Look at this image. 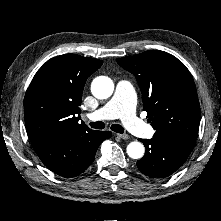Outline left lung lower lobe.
Returning a JSON list of instances; mask_svg holds the SVG:
<instances>
[{
	"mask_svg": "<svg viewBox=\"0 0 221 221\" xmlns=\"http://www.w3.org/2000/svg\"><path fill=\"white\" fill-rule=\"evenodd\" d=\"M140 141L144 143L146 152L137 162V167L151 178L171 175L183 165L194 147V144L171 136H154Z\"/></svg>",
	"mask_w": 221,
	"mask_h": 221,
	"instance_id": "obj_1",
	"label": "left lung lower lobe"
}]
</instances>
